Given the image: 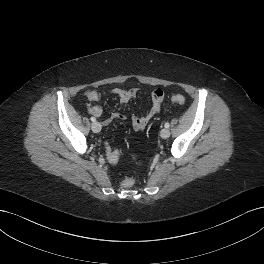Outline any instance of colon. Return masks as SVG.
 I'll return each instance as SVG.
<instances>
[{
	"label": "colon",
	"mask_w": 264,
	"mask_h": 264,
	"mask_svg": "<svg viewBox=\"0 0 264 264\" xmlns=\"http://www.w3.org/2000/svg\"><path fill=\"white\" fill-rule=\"evenodd\" d=\"M171 100L173 103L182 105L185 103V97L181 94H174L171 97ZM107 154L110 155L111 158L115 159L117 157H120L121 154H116L115 151L111 150L109 147H107ZM134 185V179L132 177H127L126 179H124V181L122 182V186L125 188H130Z\"/></svg>",
	"instance_id": "colon-1"
}]
</instances>
